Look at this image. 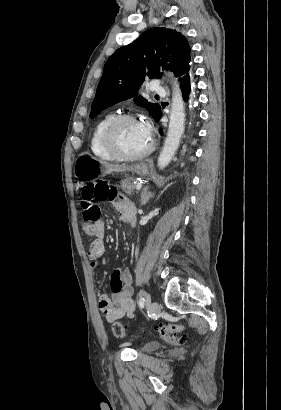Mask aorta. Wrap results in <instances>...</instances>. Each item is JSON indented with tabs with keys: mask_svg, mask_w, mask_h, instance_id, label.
<instances>
[{
	"mask_svg": "<svg viewBox=\"0 0 281 410\" xmlns=\"http://www.w3.org/2000/svg\"><path fill=\"white\" fill-rule=\"evenodd\" d=\"M185 108L182 92L177 80L173 79V95L167 137L158 158V167L164 169L172 160L184 133Z\"/></svg>",
	"mask_w": 281,
	"mask_h": 410,
	"instance_id": "1",
	"label": "aorta"
}]
</instances>
